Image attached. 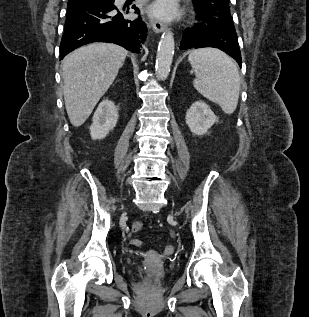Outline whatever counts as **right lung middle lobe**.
<instances>
[{
	"mask_svg": "<svg viewBox=\"0 0 309 317\" xmlns=\"http://www.w3.org/2000/svg\"><path fill=\"white\" fill-rule=\"evenodd\" d=\"M99 1H110V2H114L115 0H99Z\"/></svg>",
	"mask_w": 309,
	"mask_h": 317,
	"instance_id": "dd1d6c3e",
	"label": "right lung middle lobe"
}]
</instances>
